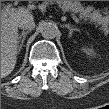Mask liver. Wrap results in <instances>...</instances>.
<instances>
[{
  "label": "liver",
  "instance_id": "6515ba94",
  "mask_svg": "<svg viewBox=\"0 0 109 109\" xmlns=\"http://www.w3.org/2000/svg\"><path fill=\"white\" fill-rule=\"evenodd\" d=\"M28 9L1 18V76L9 75L17 60L18 26L25 20H33Z\"/></svg>",
  "mask_w": 109,
  "mask_h": 109
}]
</instances>
